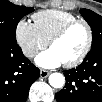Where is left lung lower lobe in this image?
Wrapping results in <instances>:
<instances>
[{
    "mask_svg": "<svg viewBox=\"0 0 102 102\" xmlns=\"http://www.w3.org/2000/svg\"><path fill=\"white\" fill-rule=\"evenodd\" d=\"M66 84L58 102H102V46L92 48L83 62L64 72Z\"/></svg>",
    "mask_w": 102,
    "mask_h": 102,
    "instance_id": "obj_1",
    "label": "left lung lower lobe"
}]
</instances>
